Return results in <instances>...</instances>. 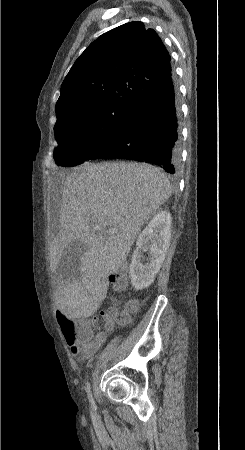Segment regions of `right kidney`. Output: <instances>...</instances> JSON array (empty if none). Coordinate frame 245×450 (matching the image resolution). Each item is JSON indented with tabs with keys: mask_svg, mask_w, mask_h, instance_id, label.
Segmentation results:
<instances>
[{
	"mask_svg": "<svg viewBox=\"0 0 245 450\" xmlns=\"http://www.w3.org/2000/svg\"><path fill=\"white\" fill-rule=\"evenodd\" d=\"M171 238V215L168 211L158 212L146 228L140 233L136 242L130 264V278L136 290L149 287L167 254ZM149 252V258L143 263V252Z\"/></svg>",
	"mask_w": 245,
	"mask_h": 450,
	"instance_id": "ca27d5eb",
	"label": "right kidney"
}]
</instances>
